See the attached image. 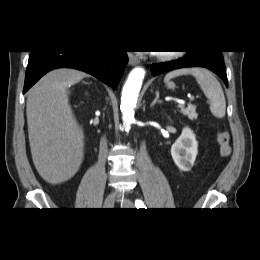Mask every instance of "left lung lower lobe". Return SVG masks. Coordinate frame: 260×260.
I'll return each mask as SVG.
<instances>
[{
	"label": "left lung lower lobe",
	"mask_w": 260,
	"mask_h": 260,
	"mask_svg": "<svg viewBox=\"0 0 260 260\" xmlns=\"http://www.w3.org/2000/svg\"><path fill=\"white\" fill-rule=\"evenodd\" d=\"M185 67H204L217 74L228 87L226 69L222 56V51L219 50H199L192 51L185 58L160 64L152 65V75L156 76L174 69Z\"/></svg>",
	"instance_id": "left-lung-lower-lobe-1"
}]
</instances>
